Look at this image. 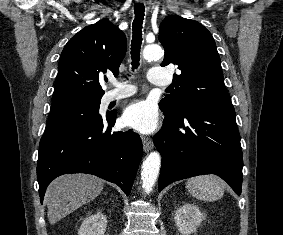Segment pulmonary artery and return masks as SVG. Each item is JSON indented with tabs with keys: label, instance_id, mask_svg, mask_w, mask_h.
I'll return each mask as SVG.
<instances>
[{
	"label": "pulmonary artery",
	"instance_id": "pulmonary-artery-1",
	"mask_svg": "<svg viewBox=\"0 0 283 235\" xmlns=\"http://www.w3.org/2000/svg\"><path fill=\"white\" fill-rule=\"evenodd\" d=\"M148 80L157 86H167L170 83L166 73L156 68L150 69ZM112 84L117 86L118 89L105 93L103 97V103L105 104L125 99L136 93V89L133 86L125 85V83L119 81H113Z\"/></svg>",
	"mask_w": 283,
	"mask_h": 235
}]
</instances>
